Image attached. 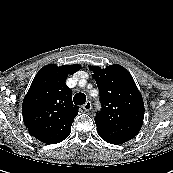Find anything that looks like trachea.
I'll return each mask as SVG.
<instances>
[{"instance_id":"obj_1","label":"trachea","mask_w":173,"mask_h":173,"mask_svg":"<svg viewBox=\"0 0 173 173\" xmlns=\"http://www.w3.org/2000/svg\"><path fill=\"white\" fill-rule=\"evenodd\" d=\"M74 104L83 105L86 102V95L84 93H77L73 98Z\"/></svg>"}]
</instances>
